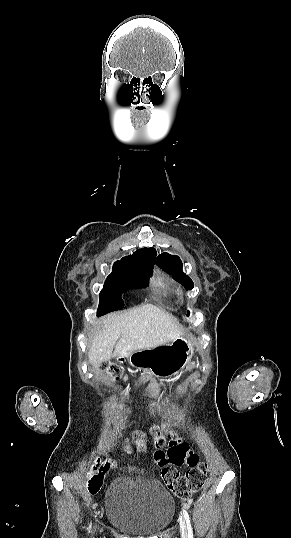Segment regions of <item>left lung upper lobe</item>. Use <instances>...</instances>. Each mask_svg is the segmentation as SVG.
Returning a JSON list of instances; mask_svg holds the SVG:
<instances>
[{"label": "left lung upper lobe", "mask_w": 291, "mask_h": 538, "mask_svg": "<svg viewBox=\"0 0 291 538\" xmlns=\"http://www.w3.org/2000/svg\"><path fill=\"white\" fill-rule=\"evenodd\" d=\"M156 264L159 265L165 272L171 274L174 280L181 283L186 290H191L194 287L193 281L190 279V277L182 272L183 264L178 256L163 253L156 257Z\"/></svg>", "instance_id": "5c2ea615"}]
</instances>
